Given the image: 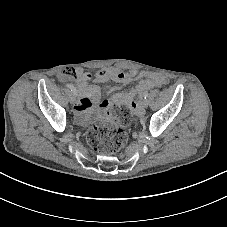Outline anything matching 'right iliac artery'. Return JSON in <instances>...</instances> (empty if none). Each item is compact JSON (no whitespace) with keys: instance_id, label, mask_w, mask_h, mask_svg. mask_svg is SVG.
Returning <instances> with one entry per match:
<instances>
[{"instance_id":"82829eb1","label":"right iliac artery","mask_w":227,"mask_h":227,"mask_svg":"<svg viewBox=\"0 0 227 227\" xmlns=\"http://www.w3.org/2000/svg\"><path fill=\"white\" fill-rule=\"evenodd\" d=\"M67 87L71 89V91L74 93V95H77L76 87L72 84H67Z\"/></svg>"}]
</instances>
